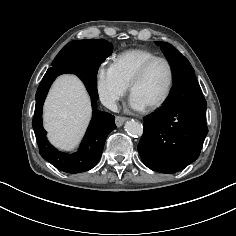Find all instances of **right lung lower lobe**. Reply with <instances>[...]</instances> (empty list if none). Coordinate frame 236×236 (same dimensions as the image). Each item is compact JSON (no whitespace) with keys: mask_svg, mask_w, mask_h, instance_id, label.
<instances>
[{"mask_svg":"<svg viewBox=\"0 0 236 236\" xmlns=\"http://www.w3.org/2000/svg\"><path fill=\"white\" fill-rule=\"evenodd\" d=\"M113 48L103 47L97 41L76 40L60 51L61 63L52 66L44 75L36 93V106L32 126L41 156L59 170L66 173H80L93 168L103 152L108 134L116 128L115 117L96 109L97 71L101 63L111 55ZM63 73H74L84 82L92 101L93 115L80 148L73 154L56 150L47 140L42 125V108L48 90L55 78Z\"/></svg>","mask_w":236,"mask_h":236,"instance_id":"1","label":"right lung lower lobe"}]
</instances>
